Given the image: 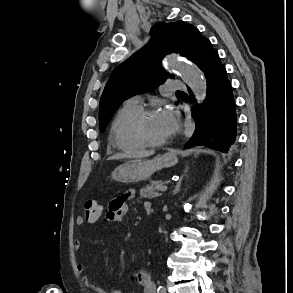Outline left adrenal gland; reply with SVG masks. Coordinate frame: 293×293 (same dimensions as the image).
Masks as SVG:
<instances>
[{"label":"left adrenal gland","instance_id":"obj_1","mask_svg":"<svg viewBox=\"0 0 293 293\" xmlns=\"http://www.w3.org/2000/svg\"><path fill=\"white\" fill-rule=\"evenodd\" d=\"M183 176H181L180 180L177 182V185L175 187V189L173 190V195H176L179 191H180V188H181V183H182V180H183Z\"/></svg>","mask_w":293,"mask_h":293}]
</instances>
